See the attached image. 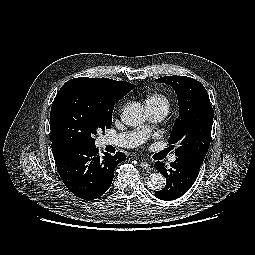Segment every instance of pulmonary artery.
Here are the masks:
<instances>
[{
	"label": "pulmonary artery",
	"mask_w": 255,
	"mask_h": 255,
	"mask_svg": "<svg viewBox=\"0 0 255 255\" xmlns=\"http://www.w3.org/2000/svg\"><path fill=\"white\" fill-rule=\"evenodd\" d=\"M147 111L153 121H161L167 114V109L162 107L147 108ZM149 132V128L142 127L125 133L108 135L104 138V143L125 148L137 147L145 142ZM176 158V155L172 154L169 161L174 162Z\"/></svg>",
	"instance_id": "1"
}]
</instances>
